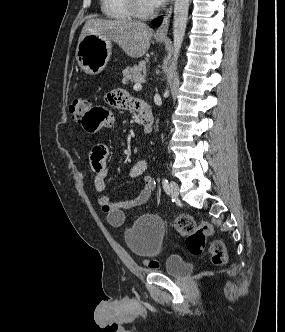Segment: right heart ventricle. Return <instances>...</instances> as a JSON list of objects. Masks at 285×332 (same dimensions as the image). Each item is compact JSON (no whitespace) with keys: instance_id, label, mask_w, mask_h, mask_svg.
<instances>
[{"instance_id":"obj_1","label":"right heart ventricle","mask_w":285,"mask_h":332,"mask_svg":"<svg viewBox=\"0 0 285 332\" xmlns=\"http://www.w3.org/2000/svg\"><path fill=\"white\" fill-rule=\"evenodd\" d=\"M103 15L111 20L127 21L134 16L127 0H100Z\"/></svg>"}]
</instances>
